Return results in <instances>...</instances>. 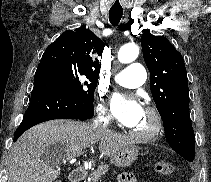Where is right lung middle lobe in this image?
Wrapping results in <instances>:
<instances>
[{"label": "right lung middle lobe", "mask_w": 211, "mask_h": 182, "mask_svg": "<svg viewBox=\"0 0 211 182\" xmlns=\"http://www.w3.org/2000/svg\"><path fill=\"white\" fill-rule=\"evenodd\" d=\"M46 68L64 85L73 90L78 98L93 104L98 78L87 76L79 70L55 62L49 64Z\"/></svg>", "instance_id": "obj_1"}]
</instances>
